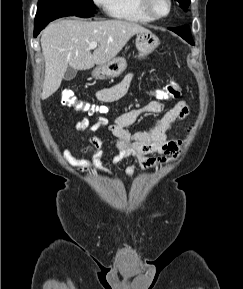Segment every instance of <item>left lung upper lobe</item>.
Returning a JSON list of instances; mask_svg holds the SVG:
<instances>
[{"instance_id": "5c2ea615", "label": "left lung upper lobe", "mask_w": 243, "mask_h": 289, "mask_svg": "<svg viewBox=\"0 0 243 289\" xmlns=\"http://www.w3.org/2000/svg\"><path fill=\"white\" fill-rule=\"evenodd\" d=\"M180 5L182 6V8L184 9H187V7L189 6L190 4V0H177Z\"/></svg>"}]
</instances>
